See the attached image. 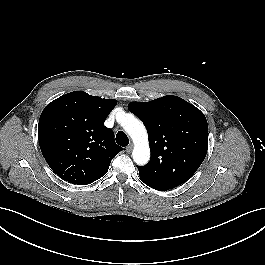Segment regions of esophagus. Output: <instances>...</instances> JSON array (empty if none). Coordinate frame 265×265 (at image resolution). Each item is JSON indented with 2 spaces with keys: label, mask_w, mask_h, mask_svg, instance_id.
I'll list each match as a JSON object with an SVG mask.
<instances>
[{
  "label": "esophagus",
  "mask_w": 265,
  "mask_h": 265,
  "mask_svg": "<svg viewBox=\"0 0 265 265\" xmlns=\"http://www.w3.org/2000/svg\"><path fill=\"white\" fill-rule=\"evenodd\" d=\"M132 149H133V145L130 144L129 146L126 147V152L129 154L131 153Z\"/></svg>",
  "instance_id": "esophagus-1"
}]
</instances>
